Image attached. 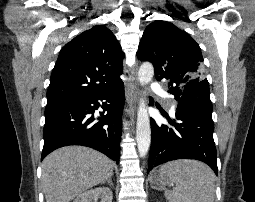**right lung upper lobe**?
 Returning a JSON list of instances; mask_svg holds the SVG:
<instances>
[{"mask_svg":"<svg viewBox=\"0 0 255 202\" xmlns=\"http://www.w3.org/2000/svg\"><path fill=\"white\" fill-rule=\"evenodd\" d=\"M124 53L105 26L84 31L60 51L47 90V105L113 89L122 83Z\"/></svg>","mask_w":255,"mask_h":202,"instance_id":"right-lung-upper-lobe-1","label":"right lung upper lobe"}]
</instances>
